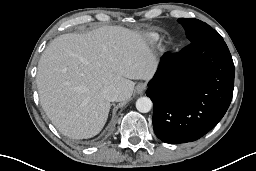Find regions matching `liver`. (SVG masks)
Returning <instances> with one entry per match:
<instances>
[{
	"mask_svg": "<svg viewBox=\"0 0 256 171\" xmlns=\"http://www.w3.org/2000/svg\"><path fill=\"white\" fill-rule=\"evenodd\" d=\"M156 63L144 36L123 27L58 36L38 62L41 105L63 135L93 137L104 127L111 107L103 89L115 87L117 101H125L132 95V80L150 79Z\"/></svg>",
	"mask_w": 256,
	"mask_h": 171,
	"instance_id": "1",
	"label": "liver"
}]
</instances>
